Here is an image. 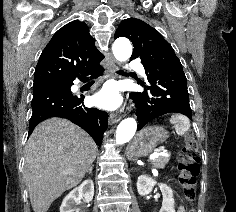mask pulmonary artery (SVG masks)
<instances>
[{
	"instance_id": "e3ab8cb5",
	"label": "pulmonary artery",
	"mask_w": 236,
	"mask_h": 212,
	"mask_svg": "<svg viewBox=\"0 0 236 212\" xmlns=\"http://www.w3.org/2000/svg\"><path fill=\"white\" fill-rule=\"evenodd\" d=\"M131 67L134 68L141 75H145V70L139 62H134L131 64Z\"/></svg>"
}]
</instances>
